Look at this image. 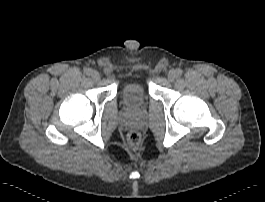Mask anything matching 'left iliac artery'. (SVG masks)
<instances>
[{
  "mask_svg": "<svg viewBox=\"0 0 265 202\" xmlns=\"http://www.w3.org/2000/svg\"><path fill=\"white\" fill-rule=\"evenodd\" d=\"M176 73H177V75H182V73H183V71L180 69V68H178V69H176Z\"/></svg>",
  "mask_w": 265,
  "mask_h": 202,
  "instance_id": "obj_1",
  "label": "left iliac artery"
}]
</instances>
